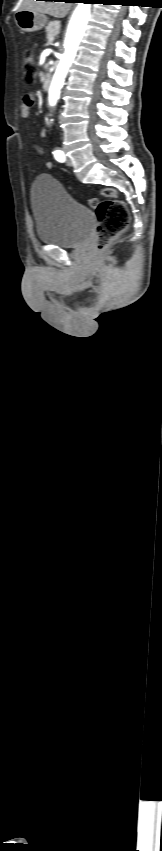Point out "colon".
I'll use <instances>...</instances> for the list:
<instances>
[{
  "instance_id": "1",
  "label": "colon",
  "mask_w": 162,
  "mask_h": 851,
  "mask_svg": "<svg viewBox=\"0 0 162 851\" xmlns=\"http://www.w3.org/2000/svg\"><path fill=\"white\" fill-rule=\"evenodd\" d=\"M24 82L31 86L36 78L37 67L34 55L30 50L23 54ZM105 200L91 199L90 206L95 210L98 218L96 228L95 248L102 250L109 242L122 233L129 224L130 214L126 204L117 197L116 191L106 187L101 190Z\"/></svg>"
}]
</instances>
